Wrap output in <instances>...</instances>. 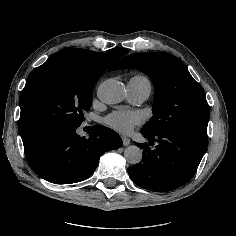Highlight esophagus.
Returning a JSON list of instances; mask_svg holds the SVG:
<instances>
[{
	"instance_id": "esophagus-1",
	"label": "esophagus",
	"mask_w": 236,
	"mask_h": 236,
	"mask_svg": "<svg viewBox=\"0 0 236 236\" xmlns=\"http://www.w3.org/2000/svg\"><path fill=\"white\" fill-rule=\"evenodd\" d=\"M122 141H123V145L125 146L130 144V139L125 136H122Z\"/></svg>"
}]
</instances>
